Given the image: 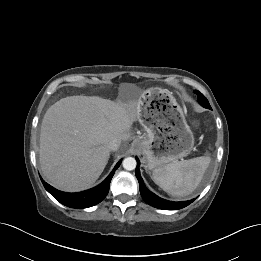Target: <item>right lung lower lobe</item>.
<instances>
[{
	"label": "right lung lower lobe",
	"mask_w": 261,
	"mask_h": 261,
	"mask_svg": "<svg viewBox=\"0 0 261 261\" xmlns=\"http://www.w3.org/2000/svg\"><path fill=\"white\" fill-rule=\"evenodd\" d=\"M118 162L110 175L98 186L79 193H66L59 191L42 180L45 189L63 205L71 208L83 209L100 203L108 194L111 179L119 167Z\"/></svg>",
	"instance_id": "right-lung-lower-lobe-1"
}]
</instances>
